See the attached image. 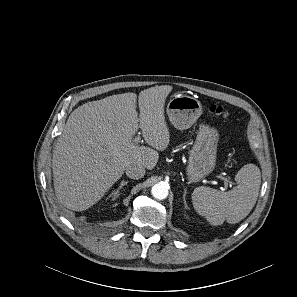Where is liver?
<instances>
[{"instance_id":"6515ba94","label":"liver","mask_w":297,"mask_h":297,"mask_svg":"<svg viewBox=\"0 0 297 297\" xmlns=\"http://www.w3.org/2000/svg\"><path fill=\"white\" fill-rule=\"evenodd\" d=\"M172 86L162 85L137 95L123 93L85 103L75 109L55 144L54 188L65 207L83 211L97 203L130 165L153 169L170 142L164 104ZM141 129L145 142L133 136Z\"/></svg>"}]
</instances>
